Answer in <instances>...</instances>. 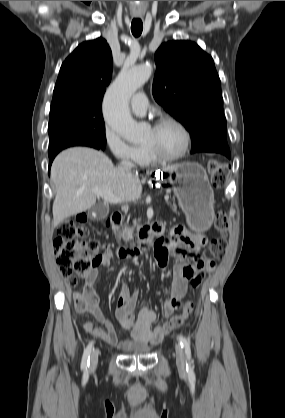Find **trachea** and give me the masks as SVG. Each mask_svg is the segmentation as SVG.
<instances>
[{"mask_svg":"<svg viewBox=\"0 0 285 418\" xmlns=\"http://www.w3.org/2000/svg\"><path fill=\"white\" fill-rule=\"evenodd\" d=\"M142 30H143V23H142L141 19H139V18L133 19L132 23H131L132 34L135 37H139L142 33Z\"/></svg>","mask_w":285,"mask_h":418,"instance_id":"trachea-1","label":"trachea"}]
</instances>
